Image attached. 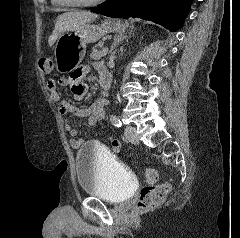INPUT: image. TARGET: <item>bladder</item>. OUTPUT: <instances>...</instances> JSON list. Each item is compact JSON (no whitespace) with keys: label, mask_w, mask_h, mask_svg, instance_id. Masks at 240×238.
Wrapping results in <instances>:
<instances>
[{"label":"bladder","mask_w":240,"mask_h":238,"mask_svg":"<svg viewBox=\"0 0 240 238\" xmlns=\"http://www.w3.org/2000/svg\"><path fill=\"white\" fill-rule=\"evenodd\" d=\"M75 166L79 187L88 196L118 204L134 193L132 173L102 146L83 145L76 154Z\"/></svg>","instance_id":"obj_1"}]
</instances>
